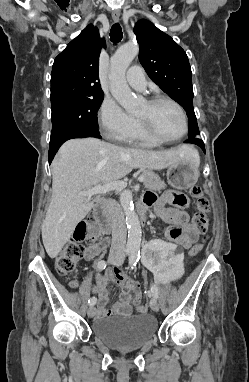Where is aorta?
Listing matches in <instances>:
<instances>
[{
  "label": "aorta",
  "instance_id": "obj_1",
  "mask_svg": "<svg viewBox=\"0 0 249 382\" xmlns=\"http://www.w3.org/2000/svg\"><path fill=\"white\" fill-rule=\"evenodd\" d=\"M138 53L139 46L134 42H128L118 48L115 54L111 57L109 74L111 94L128 112L135 111L138 102L126 82L125 73ZM120 202L126 217V225L128 228L126 250L130 255L137 256L140 253L142 232L139 218L134 211L132 193L130 191L123 192L120 197Z\"/></svg>",
  "mask_w": 249,
  "mask_h": 382
}]
</instances>
